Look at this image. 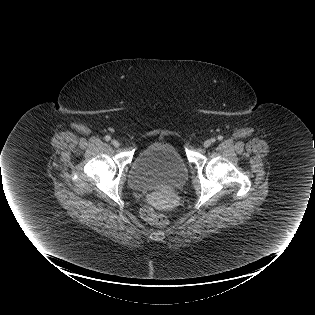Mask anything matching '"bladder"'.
Listing matches in <instances>:
<instances>
[{
	"mask_svg": "<svg viewBox=\"0 0 315 315\" xmlns=\"http://www.w3.org/2000/svg\"><path fill=\"white\" fill-rule=\"evenodd\" d=\"M187 177V166L178 150L169 143L155 142L136 156L128 181L135 190L151 191L180 187Z\"/></svg>",
	"mask_w": 315,
	"mask_h": 315,
	"instance_id": "bladder-1",
	"label": "bladder"
}]
</instances>
